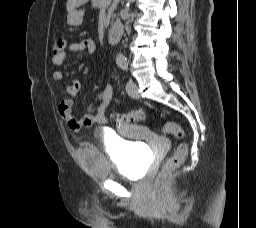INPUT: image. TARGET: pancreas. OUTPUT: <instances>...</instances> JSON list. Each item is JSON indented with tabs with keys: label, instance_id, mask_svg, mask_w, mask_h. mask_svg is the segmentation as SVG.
Listing matches in <instances>:
<instances>
[{
	"label": "pancreas",
	"instance_id": "obj_1",
	"mask_svg": "<svg viewBox=\"0 0 256 228\" xmlns=\"http://www.w3.org/2000/svg\"><path fill=\"white\" fill-rule=\"evenodd\" d=\"M92 5H93L94 8H95V7L100 8V7H102L104 4L102 3V0H92Z\"/></svg>",
	"mask_w": 256,
	"mask_h": 228
}]
</instances>
